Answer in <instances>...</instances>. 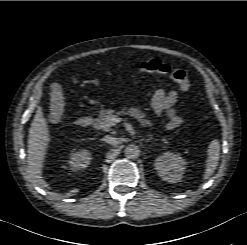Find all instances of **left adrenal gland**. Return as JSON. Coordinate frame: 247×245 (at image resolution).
<instances>
[{
    "mask_svg": "<svg viewBox=\"0 0 247 245\" xmlns=\"http://www.w3.org/2000/svg\"><path fill=\"white\" fill-rule=\"evenodd\" d=\"M153 138V135H150V137L146 140V142H149Z\"/></svg>",
    "mask_w": 247,
    "mask_h": 245,
    "instance_id": "obj_1",
    "label": "left adrenal gland"
}]
</instances>
